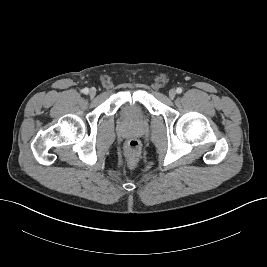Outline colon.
<instances>
[{
    "instance_id": "5ec220e1",
    "label": "colon",
    "mask_w": 267,
    "mask_h": 267,
    "mask_svg": "<svg viewBox=\"0 0 267 267\" xmlns=\"http://www.w3.org/2000/svg\"><path fill=\"white\" fill-rule=\"evenodd\" d=\"M140 144L137 140L128 141L125 147L126 158L130 165H135L140 155Z\"/></svg>"
}]
</instances>
